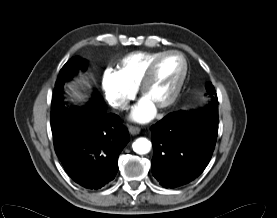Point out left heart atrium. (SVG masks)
Masks as SVG:
<instances>
[{"instance_id":"left-heart-atrium-1","label":"left heart atrium","mask_w":277,"mask_h":218,"mask_svg":"<svg viewBox=\"0 0 277 218\" xmlns=\"http://www.w3.org/2000/svg\"><path fill=\"white\" fill-rule=\"evenodd\" d=\"M156 113V106L146 97H142L140 101L133 107L131 118L137 122H147L151 120Z\"/></svg>"}]
</instances>
